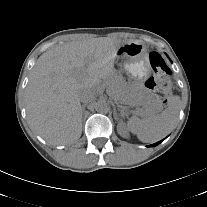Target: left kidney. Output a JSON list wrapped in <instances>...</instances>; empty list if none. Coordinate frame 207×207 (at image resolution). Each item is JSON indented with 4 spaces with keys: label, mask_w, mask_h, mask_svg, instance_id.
I'll return each instance as SVG.
<instances>
[{
    "label": "left kidney",
    "mask_w": 207,
    "mask_h": 207,
    "mask_svg": "<svg viewBox=\"0 0 207 207\" xmlns=\"http://www.w3.org/2000/svg\"><path fill=\"white\" fill-rule=\"evenodd\" d=\"M118 132H119V134H120L122 137H124V138H127V137H128L127 130H126V128H125V126H124L123 123H120V124L118 125Z\"/></svg>",
    "instance_id": "left-kidney-1"
}]
</instances>
